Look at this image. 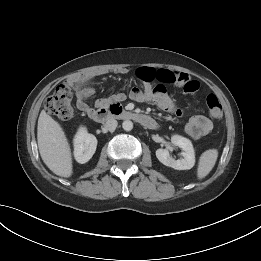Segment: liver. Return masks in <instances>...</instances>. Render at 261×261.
<instances>
[{
    "mask_svg": "<svg viewBox=\"0 0 261 261\" xmlns=\"http://www.w3.org/2000/svg\"><path fill=\"white\" fill-rule=\"evenodd\" d=\"M37 142L47 167L58 176L70 177L73 173L70 145L60 124L44 110L38 118Z\"/></svg>",
    "mask_w": 261,
    "mask_h": 261,
    "instance_id": "1",
    "label": "liver"
}]
</instances>
